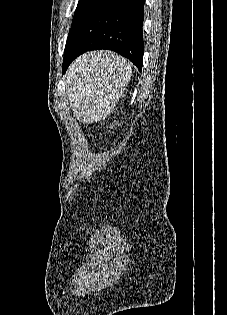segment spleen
Segmentation results:
<instances>
[{
    "label": "spleen",
    "instance_id": "1",
    "mask_svg": "<svg viewBox=\"0 0 227 315\" xmlns=\"http://www.w3.org/2000/svg\"><path fill=\"white\" fill-rule=\"evenodd\" d=\"M131 71L129 62L109 52L77 59L66 81V93L77 119L93 123L106 118L122 96Z\"/></svg>",
    "mask_w": 227,
    "mask_h": 315
}]
</instances>
